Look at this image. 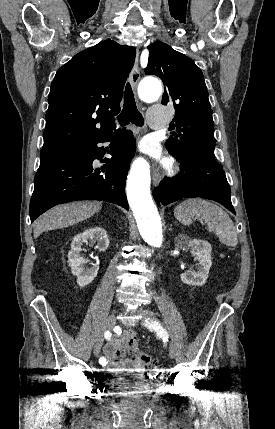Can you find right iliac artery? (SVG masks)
Listing matches in <instances>:
<instances>
[{"instance_id":"obj_1","label":"right iliac artery","mask_w":275,"mask_h":429,"mask_svg":"<svg viewBox=\"0 0 275 429\" xmlns=\"http://www.w3.org/2000/svg\"><path fill=\"white\" fill-rule=\"evenodd\" d=\"M111 336H112V334L110 333V331H106V332L104 333V337H105V339H107V340H110ZM99 363H100V365L105 366V365H106V363H107L106 358H105V357H100V359H99Z\"/></svg>"}]
</instances>
